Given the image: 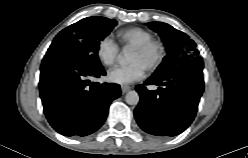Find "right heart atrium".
<instances>
[{"label": "right heart atrium", "instance_id": "obj_1", "mask_svg": "<svg viewBox=\"0 0 248 158\" xmlns=\"http://www.w3.org/2000/svg\"><path fill=\"white\" fill-rule=\"evenodd\" d=\"M96 52L105 67L113 66L119 57V47L108 37L98 42Z\"/></svg>", "mask_w": 248, "mask_h": 158}]
</instances>
